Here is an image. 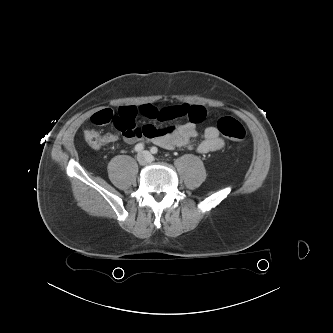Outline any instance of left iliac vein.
<instances>
[{
	"label": "left iliac vein",
	"instance_id": "4c4485c4",
	"mask_svg": "<svg viewBox=\"0 0 333 333\" xmlns=\"http://www.w3.org/2000/svg\"><path fill=\"white\" fill-rule=\"evenodd\" d=\"M144 153L148 156L149 162L153 160V157L149 154L148 151H144Z\"/></svg>",
	"mask_w": 333,
	"mask_h": 333
}]
</instances>
